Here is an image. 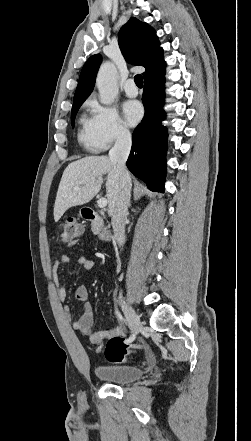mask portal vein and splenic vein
<instances>
[{
  "label": "portal vein and splenic vein",
  "instance_id": "1",
  "mask_svg": "<svg viewBox=\"0 0 251 441\" xmlns=\"http://www.w3.org/2000/svg\"><path fill=\"white\" fill-rule=\"evenodd\" d=\"M77 189H79V188L77 187ZM97 204H98L99 208H105L107 206V199L106 198H100L98 200Z\"/></svg>",
  "mask_w": 251,
  "mask_h": 441
}]
</instances>
